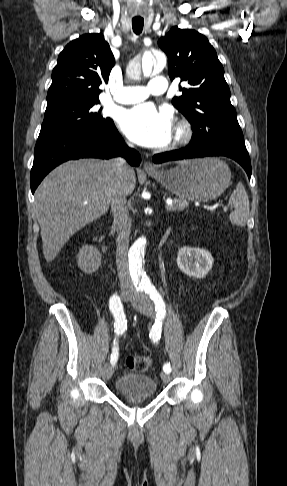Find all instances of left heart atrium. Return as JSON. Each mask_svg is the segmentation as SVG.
I'll return each mask as SVG.
<instances>
[{"mask_svg": "<svg viewBox=\"0 0 287 486\" xmlns=\"http://www.w3.org/2000/svg\"><path fill=\"white\" fill-rule=\"evenodd\" d=\"M125 135L133 142L150 148L165 146L172 136V117L150 103L125 110L119 120Z\"/></svg>", "mask_w": 287, "mask_h": 486, "instance_id": "1", "label": "left heart atrium"}]
</instances>
